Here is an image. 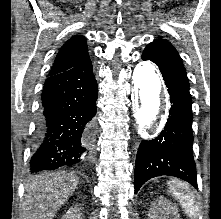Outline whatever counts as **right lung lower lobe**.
I'll return each mask as SVG.
<instances>
[{
  "mask_svg": "<svg viewBox=\"0 0 221 219\" xmlns=\"http://www.w3.org/2000/svg\"><path fill=\"white\" fill-rule=\"evenodd\" d=\"M98 86L90 58L46 79L37 121L31 173L90 161L91 122Z\"/></svg>",
  "mask_w": 221,
  "mask_h": 219,
  "instance_id": "right-lung-lower-lobe-1",
  "label": "right lung lower lobe"
}]
</instances>
